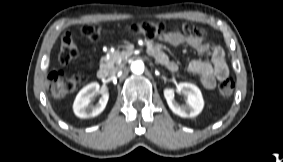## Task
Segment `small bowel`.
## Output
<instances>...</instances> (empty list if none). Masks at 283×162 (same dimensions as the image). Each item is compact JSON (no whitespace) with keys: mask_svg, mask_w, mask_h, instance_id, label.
Returning <instances> with one entry per match:
<instances>
[{"mask_svg":"<svg viewBox=\"0 0 283 162\" xmlns=\"http://www.w3.org/2000/svg\"><path fill=\"white\" fill-rule=\"evenodd\" d=\"M183 32L179 30L170 31L160 36V39L168 44L177 46L186 44L195 49L199 54H209L211 62L193 60L188 65V71L198 75L202 86L208 90L215 88L218 81L226 79L229 68L225 54L220 46L210 45L205 38L204 31L190 24L183 25ZM159 55L155 58L170 71H176L177 64L157 46Z\"/></svg>","mask_w":283,"mask_h":162,"instance_id":"small-bowel-1","label":"small bowel"}]
</instances>
